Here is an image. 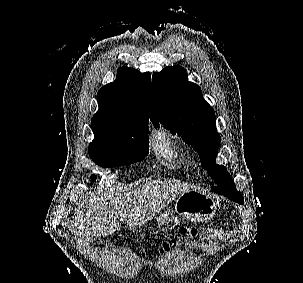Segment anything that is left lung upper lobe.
Listing matches in <instances>:
<instances>
[{
    "instance_id": "5c2ea615",
    "label": "left lung upper lobe",
    "mask_w": 303,
    "mask_h": 283,
    "mask_svg": "<svg viewBox=\"0 0 303 283\" xmlns=\"http://www.w3.org/2000/svg\"><path fill=\"white\" fill-rule=\"evenodd\" d=\"M152 79L150 118L154 126L159 127L160 122L191 144L216 183L211 187L214 192L241 195L226 168L215 164L220 136L214 111L202 98L201 88L189 82L185 70L178 65L154 73Z\"/></svg>"
}]
</instances>
